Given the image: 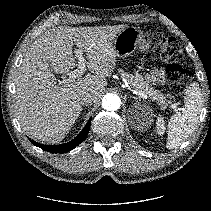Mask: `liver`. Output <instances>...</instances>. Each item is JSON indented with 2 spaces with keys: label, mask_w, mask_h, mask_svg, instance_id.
<instances>
[{
  "label": "liver",
  "mask_w": 211,
  "mask_h": 211,
  "mask_svg": "<svg viewBox=\"0 0 211 211\" xmlns=\"http://www.w3.org/2000/svg\"><path fill=\"white\" fill-rule=\"evenodd\" d=\"M124 25L52 28L26 52L15 78V115L26 134L37 140L59 143L81 114L79 97L90 93L94 102L107 86L106 77L116 66L113 41ZM86 54L88 70L77 80L59 86L54 73H68L77 66L72 47Z\"/></svg>",
  "instance_id": "1"
}]
</instances>
